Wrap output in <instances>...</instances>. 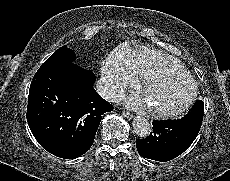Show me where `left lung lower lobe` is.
Wrapping results in <instances>:
<instances>
[{"instance_id":"1","label":"left lung lower lobe","mask_w":230,"mask_h":181,"mask_svg":"<svg viewBox=\"0 0 230 181\" xmlns=\"http://www.w3.org/2000/svg\"><path fill=\"white\" fill-rule=\"evenodd\" d=\"M204 103L197 100L182 119L153 121V132L145 139L136 140L138 153L143 158L166 162L182 154L195 140L201 128Z\"/></svg>"}]
</instances>
